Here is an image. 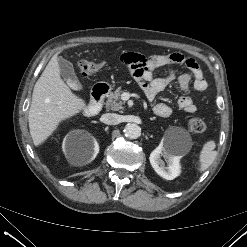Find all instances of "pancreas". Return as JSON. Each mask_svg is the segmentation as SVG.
I'll use <instances>...</instances> for the list:
<instances>
[{
  "label": "pancreas",
  "mask_w": 247,
  "mask_h": 247,
  "mask_svg": "<svg viewBox=\"0 0 247 247\" xmlns=\"http://www.w3.org/2000/svg\"><path fill=\"white\" fill-rule=\"evenodd\" d=\"M123 91L118 88L114 92H111L108 95V99L106 101V108L111 109L113 111H119L123 109V102L121 101V95Z\"/></svg>",
  "instance_id": "1"
}]
</instances>
